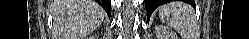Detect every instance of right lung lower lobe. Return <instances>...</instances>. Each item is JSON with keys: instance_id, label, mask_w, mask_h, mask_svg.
<instances>
[{"instance_id": "1", "label": "right lung lower lobe", "mask_w": 249, "mask_h": 39, "mask_svg": "<svg viewBox=\"0 0 249 39\" xmlns=\"http://www.w3.org/2000/svg\"><path fill=\"white\" fill-rule=\"evenodd\" d=\"M96 1L105 9V11L110 16V12H111V0H96Z\"/></svg>"}]
</instances>
